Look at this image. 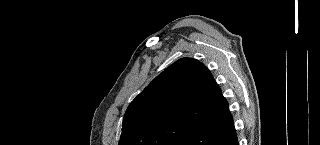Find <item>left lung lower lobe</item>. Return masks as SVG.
Wrapping results in <instances>:
<instances>
[{
  "instance_id": "obj_1",
  "label": "left lung lower lobe",
  "mask_w": 320,
  "mask_h": 145,
  "mask_svg": "<svg viewBox=\"0 0 320 145\" xmlns=\"http://www.w3.org/2000/svg\"><path fill=\"white\" fill-rule=\"evenodd\" d=\"M211 93L214 101L211 111L186 133L179 145H238L228 102L214 78Z\"/></svg>"
}]
</instances>
